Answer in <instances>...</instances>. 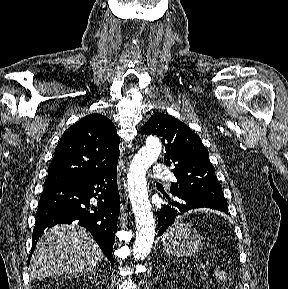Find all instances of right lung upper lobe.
<instances>
[{
  "mask_svg": "<svg viewBox=\"0 0 288 289\" xmlns=\"http://www.w3.org/2000/svg\"><path fill=\"white\" fill-rule=\"evenodd\" d=\"M120 139L116 127L101 114H90L62 135L45 185L91 175L117 164Z\"/></svg>",
  "mask_w": 288,
  "mask_h": 289,
  "instance_id": "right-lung-upper-lobe-1",
  "label": "right lung upper lobe"
}]
</instances>
